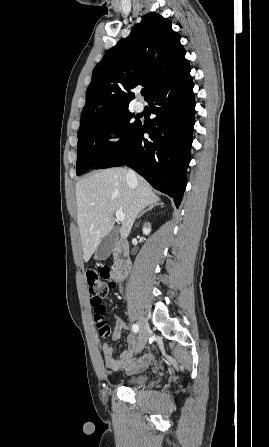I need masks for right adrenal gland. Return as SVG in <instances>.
Wrapping results in <instances>:
<instances>
[{"mask_svg": "<svg viewBox=\"0 0 269 447\" xmlns=\"http://www.w3.org/2000/svg\"><path fill=\"white\" fill-rule=\"evenodd\" d=\"M155 206H161V208H163L164 204H162V202H160V204H155ZM154 204H151V206H148L147 210H143V212H141V214H139V216H137V220L138 218H141V216H143V214H146V212H150V210H153V208H155Z\"/></svg>", "mask_w": 269, "mask_h": 447, "instance_id": "1", "label": "right adrenal gland"}]
</instances>
